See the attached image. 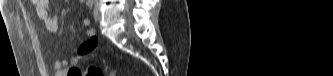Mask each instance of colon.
Segmentation results:
<instances>
[{
  "instance_id": "1",
  "label": "colon",
  "mask_w": 333,
  "mask_h": 76,
  "mask_svg": "<svg viewBox=\"0 0 333 76\" xmlns=\"http://www.w3.org/2000/svg\"><path fill=\"white\" fill-rule=\"evenodd\" d=\"M82 72H83V71H82ZM84 75H85V76H103L104 73H103V71L100 70L99 68H97V67H95V66H93V65H90V66L86 69ZM109 75H110V76H115V73H114V72H111Z\"/></svg>"
}]
</instances>
